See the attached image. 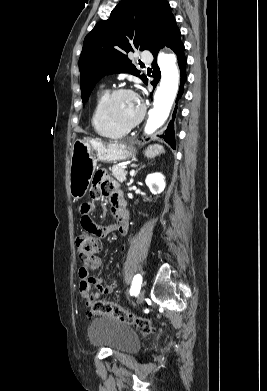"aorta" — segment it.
<instances>
[{
    "label": "aorta",
    "instance_id": "762f6f07",
    "mask_svg": "<svg viewBox=\"0 0 267 391\" xmlns=\"http://www.w3.org/2000/svg\"><path fill=\"white\" fill-rule=\"evenodd\" d=\"M158 64L161 70V81L154 95L153 108L149 111L144 132L154 133L167 120L179 88V70L174 54L160 53Z\"/></svg>",
    "mask_w": 267,
    "mask_h": 391
}]
</instances>
